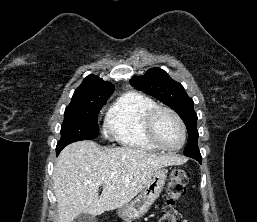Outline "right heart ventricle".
Wrapping results in <instances>:
<instances>
[{
  "mask_svg": "<svg viewBox=\"0 0 257 222\" xmlns=\"http://www.w3.org/2000/svg\"><path fill=\"white\" fill-rule=\"evenodd\" d=\"M156 106V102L145 94H123L107 111L106 124L109 133L121 146L149 152L158 151L144 129L147 114Z\"/></svg>",
  "mask_w": 257,
  "mask_h": 222,
  "instance_id": "right-heart-ventricle-1",
  "label": "right heart ventricle"
}]
</instances>
